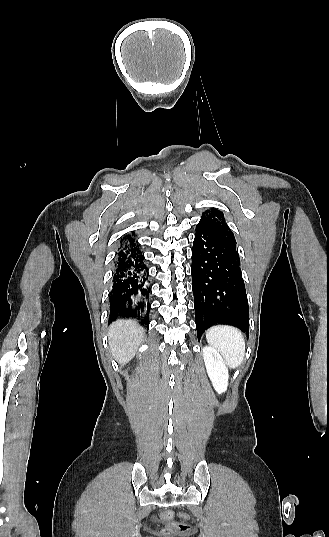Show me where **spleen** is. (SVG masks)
<instances>
[{
  "mask_svg": "<svg viewBox=\"0 0 329 537\" xmlns=\"http://www.w3.org/2000/svg\"><path fill=\"white\" fill-rule=\"evenodd\" d=\"M206 339L221 353L230 367L236 368L242 363L245 341L239 329L229 325H217L208 329Z\"/></svg>",
  "mask_w": 329,
  "mask_h": 537,
  "instance_id": "spleen-1",
  "label": "spleen"
}]
</instances>
